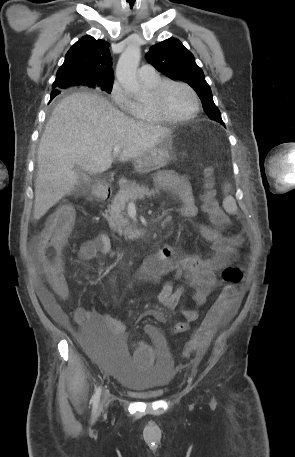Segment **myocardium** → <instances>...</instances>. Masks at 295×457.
I'll list each match as a JSON object with an SVG mask.
<instances>
[{
    "instance_id": "myocardium-1",
    "label": "myocardium",
    "mask_w": 295,
    "mask_h": 457,
    "mask_svg": "<svg viewBox=\"0 0 295 457\" xmlns=\"http://www.w3.org/2000/svg\"><path fill=\"white\" fill-rule=\"evenodd\" d=\"M169 86H181L187 89L192 95L194 100V108L188 115L183 117H171L165 113L162 105V97L164 91ZM148 102L151 110L156 115V117L159 118L162 122L166 123H182L189 121L195 118L200 111V99L196 91L189 84L177 80L166 79L158 83L155 87L152 88L151 96Z\"/></svg>"
}]
</instances>
